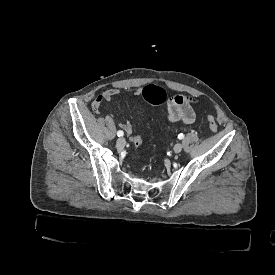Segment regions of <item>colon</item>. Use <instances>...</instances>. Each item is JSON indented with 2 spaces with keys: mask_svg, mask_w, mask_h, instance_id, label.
Returning a JSON list of instances; mask_svg holds the SVG:
<instances>
[{
  "mask_svg": "<svg viewBox=\"0 0 275 275\" xmlns=\"http://www.w3.org/2000/svg\"><path fill=\"white\" fill-rule=\"evenodd\" d=\"M140 95L142 98L146 99L148 102L153 103L155 105L162 104L163 101H165L167 98L166 92L163 91L157 85L152 83L147 84L144 87V89L141 90ZM207 124L212 132L217 131L218 125L215 118L212 115H209L207 117ZM141 136H144V133H134V135L130 137V140L134 142L136 147H139L140 143L142 142Z\"/></svg>",
  "mask_w": 275,
  "mask_h": 275,
  "instance_id": "colon-1",
  "label": "colon"
}]
</instances>
